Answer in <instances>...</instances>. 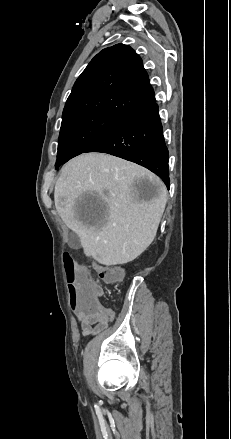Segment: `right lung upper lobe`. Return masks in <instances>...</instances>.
Masks as SVG:
<instances>
[{
	"instance_id": "cb5924a9",
	"label": "right lung upper lobe",
	"mask_w": 231,
	"mask_h": 439,
	"mask_svg": "<svg viewBox=\"0 0 231 439\" xmlns=\"http://www.w3.org/2000/svg\"><path fill=\"white\" fill-rule=\"evenodd\" d=\"M154 98L142 59L117 44L98 53L78 77L62 118L87 112L125 117Z\"/></svg>"
}]
</instances>
